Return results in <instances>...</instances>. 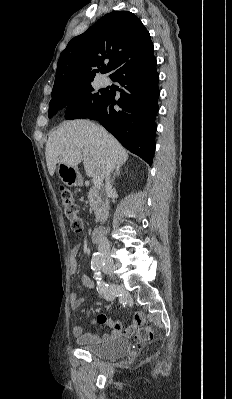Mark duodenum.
Returning a JSON list of instances; mask_svg holds the SVG:
<instances>
[{
	"mask_svg": "<svg viewBox=\"0 0 232 399\" xmlns=\"http://www.w3.org/2000/svg\"><path fill=\"white\" fill-rule=\"evenodd\" d=\"M104 229L99 227L93 230L91 234V242L92 243H98L103 235Z\"/></svg>",
	"mask_w": 232,
	"mask_h": 399,
	"instance_id": "1",
	"label": "duodenum"
}]
</instances>
